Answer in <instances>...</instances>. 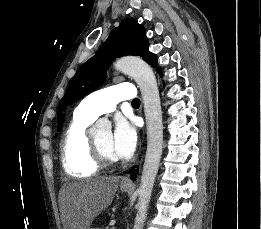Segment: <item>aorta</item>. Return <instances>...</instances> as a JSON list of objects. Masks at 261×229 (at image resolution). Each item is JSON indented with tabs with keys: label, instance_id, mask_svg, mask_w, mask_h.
<instances>
[{
	"label": "aorta",
	"instance_id": "1",
	"mask_svg": "<svg viewBox=\"0 0 261 229\" xmlns=\"http://www.w3.org/2000/svg\"><path fill=\"white\" fill-rule=\"evenodd\" d=\"M114 68L129 74L136 80L138 86H140L144 102L147 151L139 189L136 191L139 201L136 205L137 215L133 225V229H143L163 149V123L159 90L151 66L138 56L118 58L114 62ZM93 131L95 141L102 139L104 135L105 137H112L111 123L107 117L99 119L91 129V133Z\"/></svg>",
	"mask_w": 261,
	"mask_h": 229
}]
</instances>
